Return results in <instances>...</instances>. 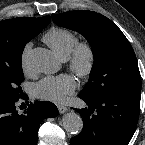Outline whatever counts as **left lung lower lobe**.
<instances>
[{"instance_id": "obj_1", "label": "left lung lower lobe", "mask_w": 145, "mask_h": 145, "mask_svg": "<svg viewBox=\"0 0 145 145\" xmlns=\"http://www.w3.org/2000/svg\"><path fill=\"white\" fill-rule=\"evenodd\" d=\"M88 107L78 109L84 124L70 145H128L139 119L141 90L103 97L79 94Z\"/></svg>"}]
</instances>
